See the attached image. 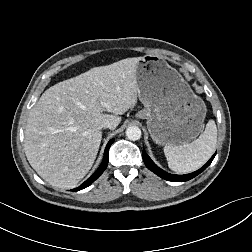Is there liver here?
<instances>
[{
    "mask_svg": "<svg viewBox=\"0 0 252 252\" xmlns=\"http://www.w3.org/2000/svg\"><path fill=\"white\" fill-rule=\"evenodd\" d=\"M139 61L134 57L94 67L41 95L29 112L24 149L42 179L72 189L89 172L102 140L101 123L115 129L119 115L137 103Z\"/></svg>",
    "mask_w": 252,
    "mask_h": 252,
    "instance_id": "1",
    "label": "liver"
}]
</instances>
